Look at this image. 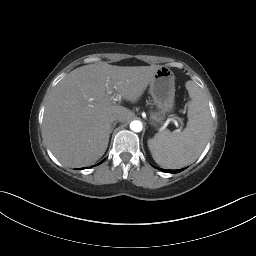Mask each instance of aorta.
<instances>
[{
  "instance_id": "1",
  "label": "aorta",
  "mask_w": 256,
  "mask_h": 256,
  "mask_svg": "<svg viewBox=\"0 0 256 256\" xmlns=\"http://www.w3.org/2000/svg\"><path fill=\"white\" fill-rule=\"evenodd\" d=\"M142 128V123L139 120H134L130 123V129L134 132H140Z\"/></svg>"
}]
</instances>
